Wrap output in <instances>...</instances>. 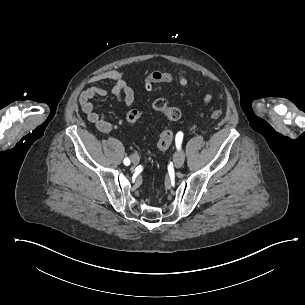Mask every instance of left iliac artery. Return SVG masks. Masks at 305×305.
I'll use <instances>...</instances> for the list:
<instances>
[{"label": "left iliac artery", "instance_id": "obj_1", "mask_svg": "<svg viewBox=\"0 0 305 305\" xmlns=\"http://www.w3.org/2000/svg\"><path fill=\"white\" fill-rule=\"evenodd\" d=\"M182 139H183V133L178 132L177 135H176V139H175L176 140V147H177V149H180Z\"/></svg>", "mask_w": 305, "mask_h": 305}]
</instances>
